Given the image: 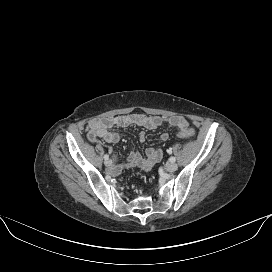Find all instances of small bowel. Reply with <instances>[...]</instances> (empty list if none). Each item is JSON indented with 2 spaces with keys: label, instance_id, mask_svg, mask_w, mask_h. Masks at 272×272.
<instances>
[{
  "label": "small bowel",
  "instance_id": "c3829d8e",
  "mask_svg": "<svg viewBox=\"0 0 272 272\" xmlns=\"http://www.w3.org/2000/svg\"><path fill=\"white\" fill-rule=\"evenodd\" d=\"M162 124L178 127L180 129L188 128L187 120L178 115L174 116H149L144 114H125L113 117H105L93 119L88 123V139L91 142H96L99 138L104 139L108 143H116L120 140V134L112 132L110 129L114 126L128 127L131 125H139L149 130H154ZM167 133L160 134V140L166 141ZM140 140H145V134H140ZM162 158V151L158 148H148L146 157H142L137 152H131L128 156L125 165H115L112 168V173L117 174L123 168L138 167L142 170H149L157 164Z\"/></svg>",
  "mask_w": 272,
  "mask_h": 272
}]
</instances>
